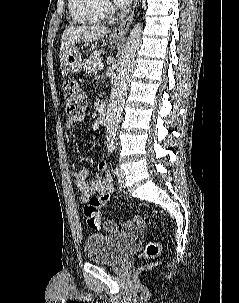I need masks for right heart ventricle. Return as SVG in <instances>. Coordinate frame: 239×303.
I'll list each match as a JSON object with an SVG mask.
<instances>
[{"mask_svg": "<svg viewBox=\"0 0 239 303\" xmlns=\"http://www.w3.org/2000/svg\"><path fill=\"white\" fill-rule=\"evenodd\" d=\"M72 19L79 24H95L105 17L102 0H68Z\"/></svg>", "mask_w": 239, "mask_h": 303, "instance_id": "e07e8e85", "label": "right heart ventricle"}]
</instances>
